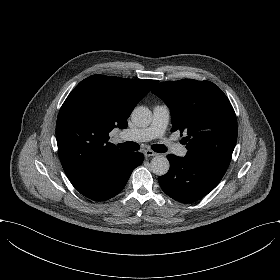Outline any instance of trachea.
<instances>
[{"instance_id":"trachea-1","label":"trachea","mask_w":280,"mask_h":280,"mask_svg":"<svg viewBox=\"0 0 280 280\" xmlns=\"http://www.w3.org/2000/svg\"><path fill=\"white\" fill-rule=\"evenodd\" d=\"M117 146L126 151H137L140 149V145L136 142L127 141L125 143H119ZM151 149L158 153H164L166 148L162 144H154L151 146Z\"/></svg>"}]
</instances>
